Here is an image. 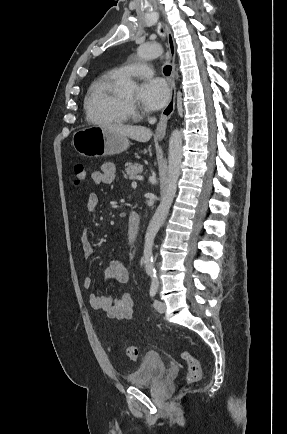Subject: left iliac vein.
Returning <instances> with one entry per match:
<instances>
[{
  "mask_svg": "<svg viewBox=\"0 0 287 434\" xmlns=\"http://www.w3.org/2000/svg\"><path fill=\"white\" fill-rule=\"evenodd\" d=\"M154 307L155 309L159 312V313H164L166 310V305L164 302L160 301V300H155L154 301Z\"/></svg>",
  "mask_w": 287,
  "mask_h": 434,
  "instance_id": "left-iliac-vein-1",
  "label": "left iliac vein"
}]
</instances>
